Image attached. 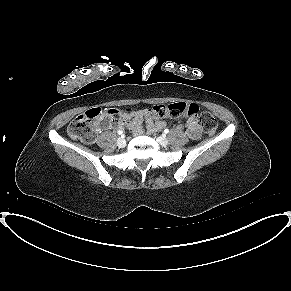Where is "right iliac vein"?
Segmentation results:
<instances>
[{"label": "right iliac vein", "instance_id": "1", "mask_svg": "<svg viewBox=\"0 0 291 291\" xmlns=\"http://www.w3.org/2000/svg\"><path fill=\"white\" fill-rule=\"evenodd\" d=\"M116 144L119 148H124L126 146V141L124 138L121 137L117 139Z\"/></svg>", "mask_w": 291, "mask_h": 291}]
</instances>
